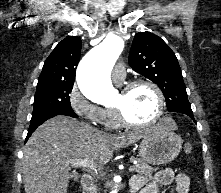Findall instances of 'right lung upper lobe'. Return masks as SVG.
Here are the masks:
<instances>
[{
	"instance_id": "right-lung-upper-lobe-1",
	"label": "right lung upper lobe",
	"mask_w": 221,
	"mask_h": 193,
	"mask_svg": "<svg viewBox=\"0 0 221 193\" xmlns=\"http://www.w3.org/2000/svg\"><path fill=\"white\" fill-rule=\"evenodd\" d=\"M81 46L82 41L77 36H69L59 42L46 59L37 86L74 84Z\"/></svg>"
}]
</instances>
